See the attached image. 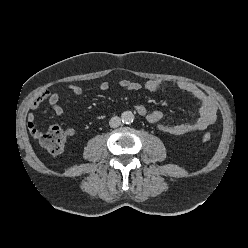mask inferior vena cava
Wrapping results in <instances>:
<instances>
[{
    "instance_id": "1",
    "label": "inferior vena cava",
    "mask_w": 248,
    "mask_h": 248,
    "mask_svg": "<svg viewBox=\"0 0 248 248\" xmlns=\"http://www.w3.org/2000/svg\"><path fill=\"white\" fill-rule=\"evenodd\" d=\"M109 125L112 128H117L121 125V118H119L118 116H114L110 119L109 121Z\"/></svg>"
}]
</instances>
